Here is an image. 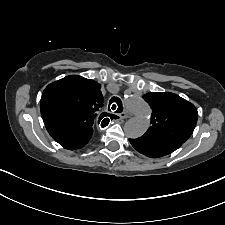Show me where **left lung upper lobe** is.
Listing matches in <instances>:
<instances>
[{"instance_id":"1","label":"left lung upper lobe","mask_w":225,"mask_h":225,"mask_svg":"<svg viewBox=\"0 0 225 225\" xmlns=\"http://www.w3.org/2000/svg\"><path fill=\"white\" fill-rule=\"evenodd\" d=\"M152 109L151 126L142 136L160 141L184 143L194 131L198 112L195 106L173 93L151 92L143 96Z\"/></svg>"}]
</instances>
